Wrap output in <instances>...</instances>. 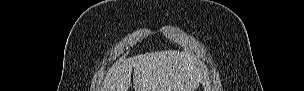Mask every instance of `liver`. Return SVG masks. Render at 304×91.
<instances>
[{
	"instance_id": "1",
	"label": "liver",
	"mask_w": 304,
	"mask_h": 91,
	"mask_svg": "<svg viewBox=\"0 0 304 91\" xmlns=\"http://www.w3.org/2000/svg\"><path fill=\"white\" fill-rule=\"evenodd\" d=\"M132 70L135 91H195L204 65L175 50L120 58L109 70L101 91H128Z\"/></svg>"
}]
</instances>
